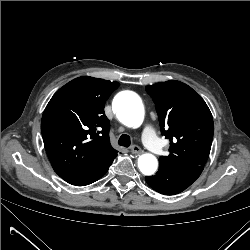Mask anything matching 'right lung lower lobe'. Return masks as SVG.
Wrapping results in <instances>:
<instances>
[{
    "label": "right lung lower lobe",
    "mask_w": 250,
    "mask_h": 250,
    "mask_svg": "<svg viewBox=\"0 0 250 250\" xmlns=\"http://www.w3.org/2000/svg\"><path fill=\"white\" fill-rule=\"evenodd\" d=\"M117 156L116 154H110L99 161L92 167H89L82 171L77 172H68L58 174L66 182L76 185V186H85L89 185L99 178H101L109 169V166L112 164L113 160Z\"/></svg>",
    "instance_id": "1"
}]
</instances>
